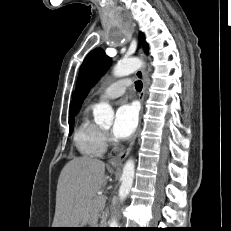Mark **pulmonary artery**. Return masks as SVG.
I'll return each instance as SVG.
<instances>
[{"instance_id": "pulmonary-artery-1", "label": "pulmonary artery", "mask_w": 231, "mask_h": 231, "mask_svg": "<svg viewBox=\"0 0 231 231\" xmlns=\"http://www.w3.org/2000/svg\"><path fill=\"white\" fill-rule=\"evenodd\" d=\"M131 85V80L129 78L119 79L110 85H108L101 93V100H110L117 98L123 95L127 89Z\"/></svg>"}]
</instances>
